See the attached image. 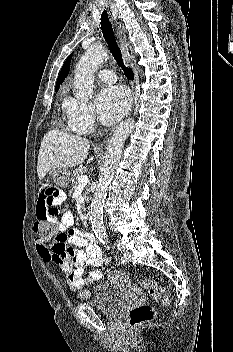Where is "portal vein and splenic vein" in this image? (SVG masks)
Returning a JSON list of instances; mask_svg holds the SVG:
<instances>
[{"label":"portal vein and splenic vein","mask_w":233,"mask_h":352,"mask_svg":"<svg viewBox=\"0 0 233 352\" xmlns=\"http://www.w3.org/2000/svg\"><path fill=\"white\" fill-rule=\"evenodd\" d=\"M79 185H86L89 181L88 176L87 175H80L77 178Z\"/></svg>","instance_id":"portal-vein-and-splenic-vein-1"}]
</instances>
